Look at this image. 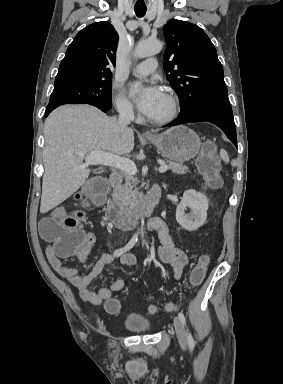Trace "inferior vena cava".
Masks as SVG:
<instances>
[{
	"label": "inferior vena cava",
	"mask_w": 283,
	"mask_h": 384,
	"mask_svg": "<svg viewBox=\"0 0 283 384\" xmlns=\"http://www.w3.org/2000/svg\"><path fill=\"white\" fill-rule=\"evenodd\" d=\"M117 112H119L118 124L120 128H127L131 120H134L132 104H118Z\"/></svg>",
	"instance_id": "obj_1"
}]
</instances>
